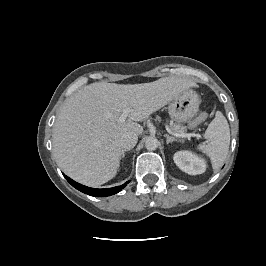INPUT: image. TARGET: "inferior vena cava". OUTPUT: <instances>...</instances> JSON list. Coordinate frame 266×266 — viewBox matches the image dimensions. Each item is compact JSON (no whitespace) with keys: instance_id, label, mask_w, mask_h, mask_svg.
<instances>
[{"instance_id":"inferior-vena-cava-1","label":"inferior vena cava","mask_w":266,"mask_h":266,"mask_svg":"<svg viewBox=\"0 0 266 266\" xmlns=\"http://www.w3.org/2000/svg\"><path fill=\"white\" fill-rule=\"evenodd\" d=\"M138 140V136L135 133H126L121 138V147L124 150L133 148Z\"/></svg>"}]
</instances>
